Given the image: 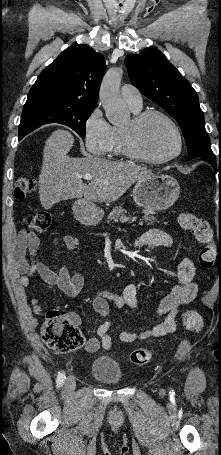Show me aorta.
<instances>
[{
  "label": "aorta",
  "instance_id": "aorta-1",
  "mask_svg": "<svg viewBox=\"0 0 221 455\" xmlns=\"http://www.w3.org/2000/svg\"><path fill=\"white\" fill-rule=\"evenodd\" d=\"M121 72L109 70L101 83L99 98L108 121L113 125L124 124L129 119V111L119 95Z\"/></svg>",
  "mask_w": 221,
  "mask_h": 455
}]
</instances>
